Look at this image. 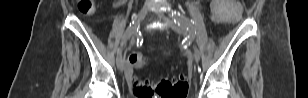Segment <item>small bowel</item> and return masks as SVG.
Wrapping results in <instances>:
<instances>
[{
  "instance_id": "1",
  "label": "small bowel",
  "mask_w": 308,
  "mask_h": 98,
  "mask_svg": "<svg viewBox=\"0 0 308 98\" xmlns=\"http://www.w3.org/2000/svg\"><path fill=\"white\" fill-rule=\"evenodd\" d=\"M132 74H133L132 69H131L130 66H128L127 76H128V78H129L130 80L132 79ZM173 82H174V81H173ZM134 86H135V83H134Z\"/></svg>"
}]
</instances>
